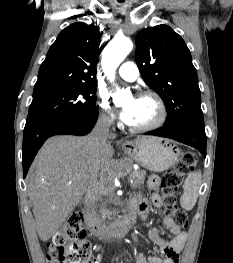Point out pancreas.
<instances>
[{
  "label": "pancreas",
  "instance_id": "pancreas-1",
  "mask_svg": "<svg viewBox=\"0 0 233 263\" xmlns=\"http://www.w3.org/2000/svg\"><path fill=\"white\" fill-rule=\"evenodd\" d=\"M146 172L144 170H133L130 177L134 180L133 188H139L145 181ZM102 220L108 217L111 213L105 207L101 208Z\"/></svg>",
  "mask_w": 233,
  "mask_h": 263
}]
</instances>
